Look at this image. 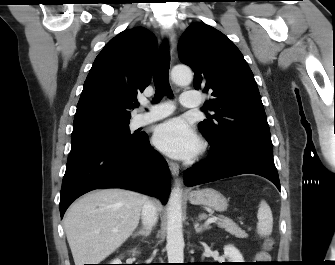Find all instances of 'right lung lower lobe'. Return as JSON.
I'll list each match as a JSON object with an SVG mask.
<instances>
[{"label":"right lung lower lobe","instance_id":"obj_1","mask_svg":"<svg viewBox=\"0 0 335 265\" xmlns=\"http://www.w3.org/2000/svg\"><path fill=\"white\" fill-rule=\"evenodd\" d=\"M98 188H125L167 203L170 172L146 133L120 144L71 148L60 193V215L79 196Z\"/></svg>","mask_w":335,"mask_h":265}]
</instances>
